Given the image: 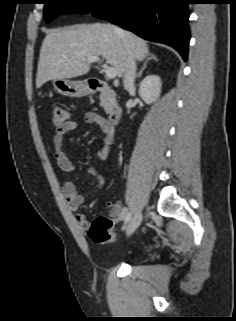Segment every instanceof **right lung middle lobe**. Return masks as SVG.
I'll return each mask as SVG.
<instances>
[{
    "label": "right lung middle lobe",
    "instance_id": "1",
    "mask_svg": "<svg viewBox=\"0 0 236 321\" xmlns=\"http://www.w3.org/2000/svg\"><path fill=\"white\" fill-rule=\"evenodd\" d=\"M110 0H45L44 15L46 22L60 14L91 13L105 6Z\"/></svg>",
    "mask_w": 236,
    "mask_h": 321
}]
</instances>
